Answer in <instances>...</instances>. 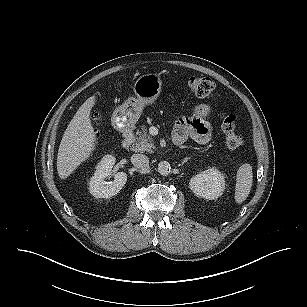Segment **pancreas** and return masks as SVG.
Here are the masks:
<instances>
[{
	"label": "pancreas",
	"mask_w": 307,
	"mask_h": 307,
	"mask_svg": "<svg viewBox=\"0 0 307 307\" xmlns=\"http://www.w3.org/2000/svg\"><path fill=\"white\" fill-rule=\"evenodd\" d=\"M137 137L134 140L132 145V150L135 152H149L152 153L155 149L153 138L148 135L147 128L145 126L141 127V130H138L136 133Z\"/></svg>",
	"instance_id": "obj_1"
}]
</instances>
